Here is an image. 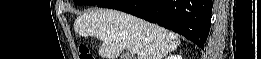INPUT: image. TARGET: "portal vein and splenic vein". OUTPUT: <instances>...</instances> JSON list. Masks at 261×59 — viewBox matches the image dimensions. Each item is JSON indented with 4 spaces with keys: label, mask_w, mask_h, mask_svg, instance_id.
<instances>
[{
    "label": "portal vein and splenic vein",
    "mask_w": 261,
    "mask_h": 59,
    "mask_svg": "<svg viewBox=\"0 0 261 59\" xmlns=\"http://www.w3.org/2000/svg\"><path fill=\"white\" fill-rule=\"evenodd\" d=\"M131 50H132L133 53H137L138 52V48L137 47H133Z\"/></svg>",
    "instance_id": "1"
}]
</instances>
